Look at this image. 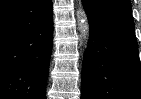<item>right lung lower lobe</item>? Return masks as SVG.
Masks as SVG:
<instances>
[{
  "mask_svg": "<svg viewBox=\"0 0 141 99\" xmlns=\"http://www.w3.org/2000/svg\"><path fill=\"white\" fill-rule=\"evenodd\" d=\"M53 41L51 0L0 8V99H45Z\"/></svg>",
  "mask_w": 141,
  "mask_h": 99,
  "instance_id": "right-lung-lower-lobe-1",
  "label": "right lung lower lobe"
}]
</instances>
